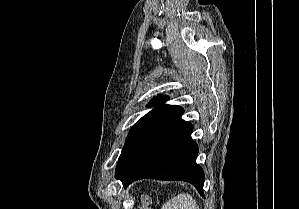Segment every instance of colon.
<instances>
[{
  "label": "colon",
  "instance_id": "colon-1",
  "mask_svg": "<svg viewBox=\"0 0 299 209\" xmlns=\"http://www.w3.org/2000/svg\"><path fill=\"white\" fill-rule=\"evenodd\" d=\"M144 204H147V199L144 200Z\"/></svg>",
  "mask_w": 299,
  "mask_h": 209
}]
</instances>
